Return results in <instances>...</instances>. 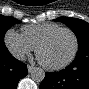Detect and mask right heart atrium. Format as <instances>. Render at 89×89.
<instances>
[{"instance_id":"obj_1","label":"right heart atrium","mask_w":89,"mask_h":89,"mask_svg":"<svg viewBox=\"0 0 89 89\" xmlns=\"http://www.w3.org/2000/svg\"><path fill=\"white\" fill-rule=\"evenodd\" d=\"M4 44L17 59H24L35 50V47L22 34L11 28L4 34Z\"/></svg>"}]
</instances>
